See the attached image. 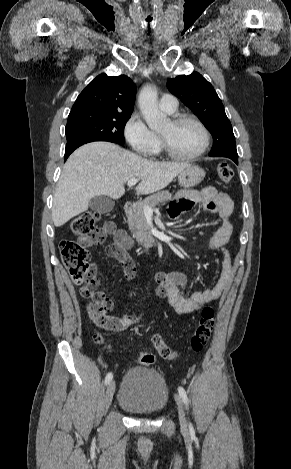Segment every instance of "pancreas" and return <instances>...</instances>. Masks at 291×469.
<instances>
[{
	"label": "pancreas",
	"instance_id": "obj_1",
	"mask_svg": "<svg viewBox=\"0 0 291 469\" xmlns=\"http://www.w3.org/2000/svg\"><path fill=\"white\" fill-rule=\"evenodd\" d=\"M171 199L172 194L169 191H161L135 204L134 213L128 216V226L138 243L150 246L154 242L145 217L144 207L154 208L159 203H166Z\"/></svg>",
	"mask_w": 291,
	"mask_h": 469
}]
</instances>
